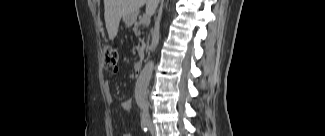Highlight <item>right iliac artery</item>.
I'll return each instance as SVG.
<instances>
[{
	"label": "right iliac artery",
	"instance_id": "82829eb1",
	"mask_svg": "<svg viewBox=\"0 0 325 136\" xmlns=\"http://www.w3.org/2000/svg\"><path fill=\"white\" fill-rule=\"evenodd\" d=\"M148 125H149L148 117L143 114L141 116V128L143 129V131L145 132L147 131Z\"/></svg>",
	"mask_w": 325,
	"mask_h": 136
}]
</instances>
